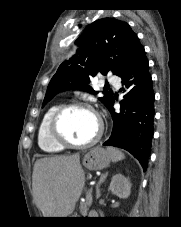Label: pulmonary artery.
<instances>
[{
	"label": "pulmonary artery",
	"mask_w": 181,
	"mask_h": 227,
	"mask_svg": "<svg viewBox=\"0 0 181 227\" xmlns=\"http://www.w3.org/2000/svg\"><path fill=\"white\" fill-rule=\"evenodd\" d=\"M108 82L111 83V84H119L120 80L119 78L117 77H114V76H109L108 77Z\"/></svg>",
	"instance_id": "e3ab8cb5"
}]
</instances>
